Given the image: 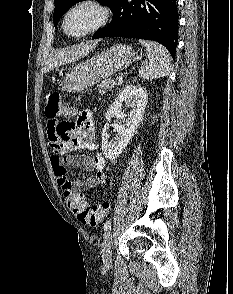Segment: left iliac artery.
Here are the masks:
<instances>
[{"label":"left iliac artery","instance_id":"1","mask_svg":"<svg viewBox=\"0 0 233 294\" xmlns=\"http://www.w3.org/2000/svg\"><path fill=\"white\" fill-rule=\"evenodd\" d=\"M111 229V222L108 220L104 224V230L105 232H108Z\"/></svg>","mask_w":233,"mask_h":294}]
</instances>
